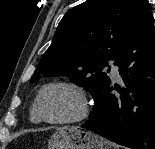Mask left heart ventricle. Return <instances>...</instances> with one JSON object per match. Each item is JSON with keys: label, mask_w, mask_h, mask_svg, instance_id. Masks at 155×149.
<instances>
[{"label": "left heart ventricle", "mask_w": 155, "mask_h": 149, "mask_svg": "<svg viewBox=\"0 0 155 149\" xmlns=\"http://www.w3.org/2000/svg\"><path fill=\"white\" fill-rule=\"evenodd\" d=\"M40 110L48 119L70 118L79 110V98L68 88L53 87L44 93Z\"/></svg>", "instance_id": "1"}]
</instances>
